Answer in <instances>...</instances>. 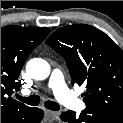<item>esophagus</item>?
Returning a JSON list of instances; mask_svg holds the SVG:
<instances>
[{
    "label": "esophagus",
    "mask_w": 123,
    "mask_h": 123,
    "mask_svg": "<svg viewBox=\"0 0 123 123\" xmlns=\"http://www.w3.org/2000/svg\"><path fill=\"white\" fill-rule=\"evenodd\" d=\"M45 113L48 117H51L54 120H60V113L59 112H53V111L45 110Z\"/></svg>",
    "instance_id": "34e87169"
}]
</instances>
